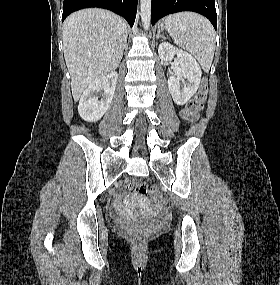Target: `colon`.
Returning <instances> with one entry per match:
<instances>
[{
	"mask_svg": "<svg viewBox=\"0 0 280 285\" xmlns=\"http://www.w3.org/2000/svg\"><path fill=\"white\" fill-rule=\"evenodd\" d=\"M207 98V86L206 83L203 82L195 95L190 99V101L186 104L182 116L185 120L193 122L195 121L199 114L203 111ZM126 186L128 189L133 190L137 195L143 196L148 191L149 188L146 183L130 179L126 182ZM152 196L155 200L159 201L162 196L157 191L152 192ZM146 239V235L141 232H136L132 235V241L134 243L140 244L144 242Z\"/></svg>",
	"mask_w": 280,
	"mask_h": 285,
	"instance_id": "1",
	"label": "colon"
}]
</instances>
